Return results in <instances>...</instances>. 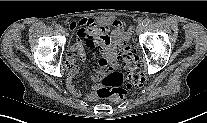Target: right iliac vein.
I'll list each match as a JSON object with an SVG mask.
<instances>
[{
    "label": "right iliac vein",
    "mask_w": 207,
    "mask_h": 123,
    "mask_svg": "<svg viewBox=\"0 0 207 123\" xmlns=\"http://www.w3.org/2000/svg\"><path fill=\"white\" fill-rule=\"evenodd\" d=\"M61 32H62L63 34H65V35H68V32H67V30H66L65 28H62V29H61Z\"/></svg>",
    "instance_id": "63e3f726"
}]
</instances>
